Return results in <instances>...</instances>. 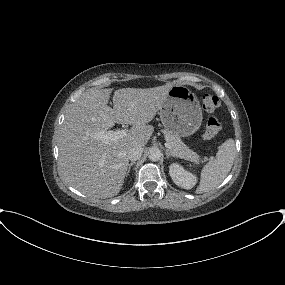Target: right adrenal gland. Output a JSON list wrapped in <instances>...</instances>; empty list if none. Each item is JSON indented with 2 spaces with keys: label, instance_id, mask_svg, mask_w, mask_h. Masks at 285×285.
<instances>
[{
  "label": "right adrenal gland",
  "instance_id": "obj_1",
  "mask_svg": "<svg viewBox=\"0 0 285 285\" xmlns=\"http://www.w3.org/2000/svg\"><path fill=\"white\" fill-rule=\"evenodd\" d=\"M135 163H136V162H135V161H133V162H131V163L128 165L127 172H126V176H128V175H129V173H130V169H131V167H132Z\"/></svg>",
  "mask_w": 285,
  "mask_h": 285
}]
</instances>
